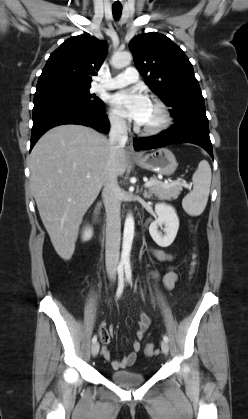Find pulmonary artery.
<instances>
[{"mask_svg": "<svg viewBox=\"0 0 248 419\" xmlns=\"http://www.w3.org/2000/svg\"><path fill=\"white\" fill-rule=\"evenodd\" d=\"M138 79L139 74L136 68L128 67L124 72L112 77L107 83L100 84L98 90L121 88L137 82Z\"/></svg>", "mask_w": 248, "mask_h": 419, "instance_id": "e3ab8cb5", "label": "pulmonary artery"}]
</instances>
